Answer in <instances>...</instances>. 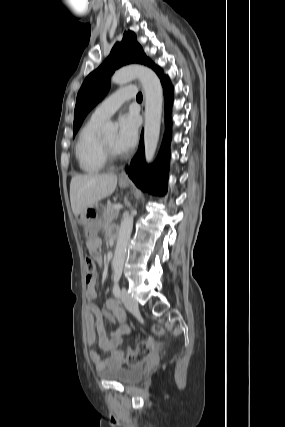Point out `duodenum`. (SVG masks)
<instances>
[{
	"mask_svg": "<svg viewBox=\"0 0 285 427\" xmlns=\"http://www.w3.org/2000/svg\"><path fill=\"white\" fill-rule=\"evenodd\" d=\"M116 240H117V236L115 235V234H111L110 235V242H111V244H113V243H115L116 242Z\"/></svg>",
	"mask_w": 285,
	"mask_h": 427,
	"instance_id": "obj_1",
	"label": "duodenum"
}]
</instances>
